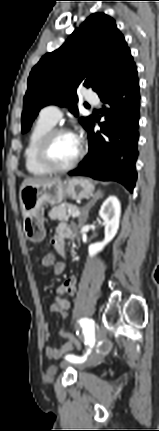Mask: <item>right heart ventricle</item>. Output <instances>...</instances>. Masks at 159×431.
Returning <instances> with one entry per match:
<instances>
[{
  "label": "right heart ventricle",
  "instance_id": "obj_1",
  "mask_svg": "<svg viewBox=\"0 0 159 431\" xmlns=\"http://www.w3.org/2000/svg\"><path fill=\"white\" fill-rule=\"evenodd\" d=\"M55 124L40 116L32 127L24 148V162L27 172L33 176H44L50 173L37 159V148L43 136Z\"/></svg>",
  "mask_w": 159,
  "mask_h": 431
}]
</instances>
